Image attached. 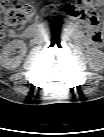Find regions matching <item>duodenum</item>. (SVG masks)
I'll use <instances>...</instances> for the list:
<instances>
[{"label": "duodenum", "instance_id": "duodenum-1", "mask_svg": "<svg viewBox=\"0 0 104 137\" xmlns=\"http://www.w3.org/2000/svg\"><path fill=\"white\" fill-rule=\"evenodd\" d=\"M39 29H40L39 26H33L25 32V36L26 37H33V36L38 34ZM79 38L81 40H89L90 39V37H86L85 35H81V36H79Z\"/></svg>", "mask_w": 104, "mask_h": 137}]
</instances>
